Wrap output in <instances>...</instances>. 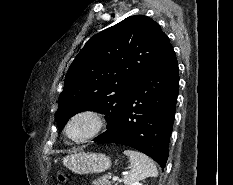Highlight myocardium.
<instances>
[{"mask_svg":"<svg viewBox=\"0 0 233 185\" xmlns=\"http://www.w3.org/2000/svg\"><path fill=\"white\" fill-rule=\"evenodd\" d=\"M80 117L91 118L94 122V127H93L92 131L89 134H87L86 136H84L83 138L74 139L70 136V132H69L70 126L74 120H76L77 118H80ZM106 125H107L106 117L101 111L96 110V109H83V110H80V111L74 113L68 119L66 126H65V134L74 143H78V144L85 143V142L97 137L105 129Z\"/></svg>","mask_w":233,"mask_h":185,"instance_id":"obj_1","label":"myocardium"}]
</instances>
